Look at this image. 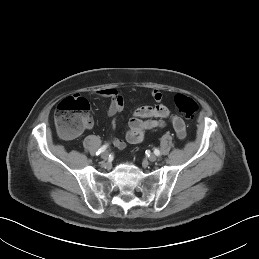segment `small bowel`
Returning a JSON list of instances; mask_svg holds the SVG:
<instances>
[{
	"label": "small bowel",
	"mask_w": 259,
	"mask_h": 259,
	"mask_svg": "<svg viewBox=\"0 0 259 259\" xmlns=\"http://www.w3.org/2000/svg\"><path fill=\"white\" fill-rule=\"evenodd\" d=\"M96 95L110 99V105L107 109L108 116H114L121 112L124 108V97L116 88L100 89L96 91ZM152 98L156 102L154 106L138 107L128 122V130L126 132V141L131 144L139 143L145 137L148 131L156 128H162L165 120L170 119L177 137L183 140L186 137V126L184 121L176 115H173L169 108L161 103L162 94L159 90H153ZM93 126L92 119L87 128ZM111 144L117 149L125 147V141L114 137Z\"/></svg>",
	"instance_id": "small-bowel-1"
}]
</instances>
